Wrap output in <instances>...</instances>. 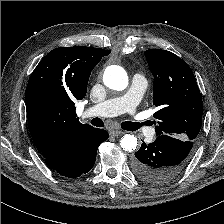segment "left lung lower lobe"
<instances>
[{"instance_id": "obj_1", "label": "left lung lower lobe", "mask_w": 224, "mask_h": 224, "mask_svg": "<svg viewBox=\"0 0 224 224\" xmlns=\"http://www.w3.org/2000/svg\"><path fill=\"white\" fill-rule=\"evenodd\" d=\"M194 141L159 135L150 144L143 143L132 161L134 173L143 181L164 184L184 168Z\"/></svg>"}]
</instances>
